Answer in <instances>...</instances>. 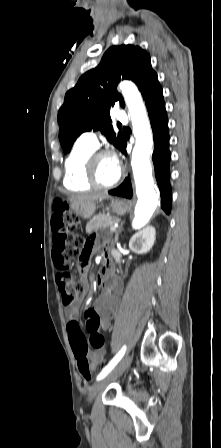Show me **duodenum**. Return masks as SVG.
<instances>
[{"label":"duodenum","mask_w":221,"mask_h":448,"mask_svg":"<svg viewBox=\"0 0 221 448\" xmlns=\"http://www.w3.org/2000/svg\"><path fill=\"white\" fill-rule=\"evenodd\" d=\"M110 263H111V257H110V255H107V264L99 273V283L101 286H106L109 283L108 267H109Z\"/></svg>","instance_id":"1"}]
</instances>
